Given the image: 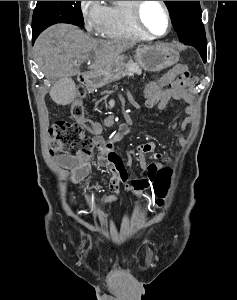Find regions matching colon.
I'll return each mask as SVG.
<instances>
[{
    "instance_id": "colon-1",
    "label": "colon",
    "mask_w": 237,
    "mask_h": 300,
    "mask_svg": "<svg viewBox=\"0 0 237 300\" xmlns=\"http://www.w3.org/2000/svg\"><path fill=\"white\" fill-rule=\"evenodd\" d=\"M173 72L176 74V80L167 87L159 89L157 92L145 98V105L152 108L158 104L163 95L168 89L177 87H186L194 83L195 79L189 73L188 67L185 64H179ZM85 91L82 87H78L77 96L71 106V114L75 119L84 117L83 98ZM130 128L123 125L118 131L114 132L108 138H91L88 137L79 123H71L67 121H58L49 129V139L51 153L64 152L72 157H77L82 160H88L92 152L99 148L113 147L121 138L129 132ZM172 171L167 168H161L149 177L150 185L154 188L159 199L158 205L163 203L162 198L167 194Z\"/></svg>"
}]
</instances>
